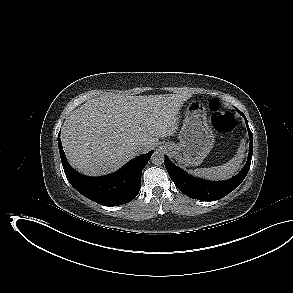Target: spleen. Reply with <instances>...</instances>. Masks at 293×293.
I'll return each mask as SVG.
<instances>
[{"label":"spleen","mask_w":293,"mask_h":293,"mask_svg":"<svg viewBox=\"0 0 293 293\" xmlns=\"http://www.w3.org/2000/svg\"><path fill=\"white\" fill-rule=\"evenodd\" d=\"M244 152L245 140H242L238 148L237 154L226 164L210 168H197L195 170H189V172L191 174H194L195 176H201L211 180L228 179L239 170L244 158Z\"/></svg>","instance_id":"1"}]
</instances>
